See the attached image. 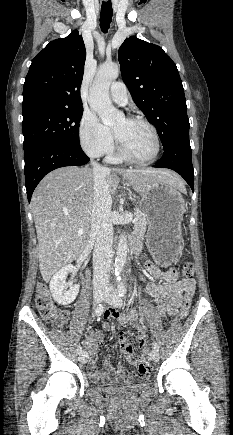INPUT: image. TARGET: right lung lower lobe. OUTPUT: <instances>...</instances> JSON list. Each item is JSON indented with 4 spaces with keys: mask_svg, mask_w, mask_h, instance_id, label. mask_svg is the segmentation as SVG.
I'll list each match as a JSON object with an SVG mask.
<instances>
[{
    "mask_svg": "<svg viewBox=\"0 0 233 435\" xmlns=\"http://www.w3.org/2000/svg\"><path fill=\"white\" fill-rule=\"evenodd\" d=\"M25 182L28 201L41 179L50 171L64 166H81L89 158L80 147L44 142L24 150Z\"/></svg>",
    "mask_w": 233,
    "mask_h": 435,
    "instance_id": "right-lung-lower-lobe-1",
    "label": "right lung lower lobe"
}]
</instances>
